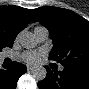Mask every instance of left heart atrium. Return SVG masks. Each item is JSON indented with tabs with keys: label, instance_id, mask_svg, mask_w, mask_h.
Returning a JSON list of instances; mask_svg holds the SVG:
<instances>
[{
	"label": "left heart atrium",
	"instance_id": "left-heart-atrium-1",
	"mask_svg": "<svg viewBox=\"0 0 89 89\" xmlns=\"http://www.w3.org/2000/svg\"><path fill=\"white\" fill-rule=\"evenodd\" d=\"M22 59L28 64H36L40 60V55L36 52H26L22 55Z\"/></svg>",
	"mask_w": 89,
	"mask_h": 89
}]
</instances>
